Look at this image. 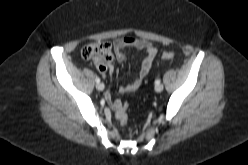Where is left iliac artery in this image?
<instances>
[{"instance_id": "44dca946", "label": "left iliac artery", "mask_w": 248, "mask_h": 165, "mask_svg": "<svg viewBox=\"0 0 248 165\" xmlns=\"http://www.w3.org/2000/svg\"><path fill=\"white\" fill-rule=\"evenodd\" d=\"M161 82L160 79L155 80V84H159Z\"/></svg>"}]
</instances>
